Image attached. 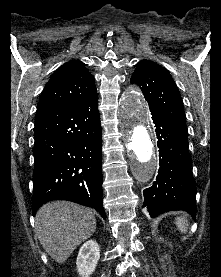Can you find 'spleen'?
<instances>
[{
  "mask_svg": "<svg viewBox=\"0 0 221 277\" xmlns=\"http://www.w3.org/2000/svg\"><path fill=\"white\" fill-rule=\"evenodd\" d=\"M176 225H177V227L179 228V230L181 232L185 233L186 230H187L188 221H187V219L185 217H179L176 220Z\"/></svg>",
  "mask_w": 221,
  "mask_h": 277,
  "instance_id": "spleen-1",
  "label": "spleen"
}]
</instances>
